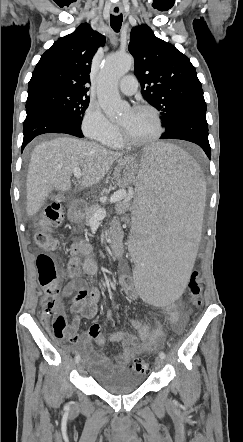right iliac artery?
<instances>
[{"instance_id":"right-iliac-artery-1","label":"right iliac artery","mask_w":243,"mask_h":442,"mask_svg":"<svg viewBox=\"0 0 243 442\" xmlns=\"http://www.w3.org/2000/svg\"><path fill=\"white\" fill-rule=\"evenodd\" d=\"M79 361H80V355L78 354V355L75 356V362H76V363H79ZM68 407H69V406L66 405L65 408L68 409Z\"/></svg>"}]
</instances>
